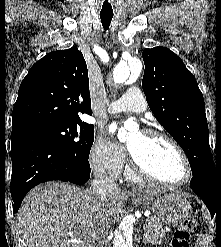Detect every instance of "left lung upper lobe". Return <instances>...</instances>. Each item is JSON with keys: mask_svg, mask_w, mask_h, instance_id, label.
Here are the masks:
<instances>
[{"mask_svg": "<svg viewBox=\"0 0 221 247\" xmlns=\"http://www.w3.org/2000/svg\"><path fill=\"white\" fill-rule=\"evenodd\" d=\"M142 87L158 122L173 136L188 157L191 170L214 162L203 95L183 61L165 47L145 49Z\"/></svg>", "mask_w": 221, "mask_h": 247, "instance_id": "obj_1", "label": "left lung upper lobe"}]
</instances>
